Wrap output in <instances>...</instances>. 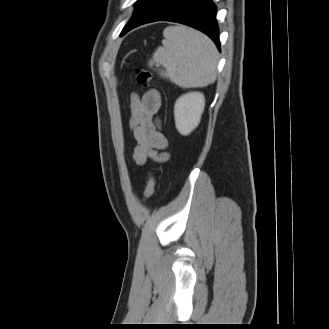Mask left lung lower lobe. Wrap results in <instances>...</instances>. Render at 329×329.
Returning a JSON list of instances; mask_svg holds the SVG:
<instances>
[{"mask_svg":"<svg viewBox=\"0 0 329 329\" xmlns=\"http://www.w3.org/2000/svg\"><path fill=\"white\" fill-rule=\"evenodd\" d=\"M216 8L211 0H145L137 7L121 35L155 21H172L191 26L208 35L220 50Z\"/></svg>","mask_w":329,"mask_h":329,"instance_id":"obj_1","label":"left lung lower lobe"}]
</instances>
